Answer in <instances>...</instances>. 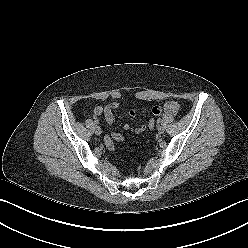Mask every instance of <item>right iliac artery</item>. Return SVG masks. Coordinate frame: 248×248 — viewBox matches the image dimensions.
I'll list each match as a JSON object with an SVG mask.
<instances>
[{
	"instance_id": "right-iliac-artery-1",
	"label": "right iliac artery",
	"mask_w": 248,
	"mask_h": 248,
	"mask_svg": "<svg viewBox=\"0 0 248 248\" xmlns=\"http://www.w3.org/2000/svg\"><path fill=\"white\" fill-rule=\"evenodd\" d=\"M94 123H95V124H98V120H95Z\"/></svg>"
}]
</instances>
